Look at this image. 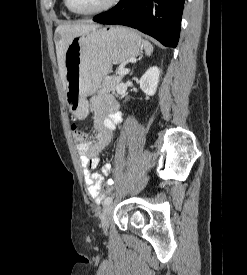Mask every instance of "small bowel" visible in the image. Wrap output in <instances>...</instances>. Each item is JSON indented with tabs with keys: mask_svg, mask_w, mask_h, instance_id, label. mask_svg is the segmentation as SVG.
I'll use <instances>...</instances> for the list:
<instances>
[{
	"mask_svg": "<svg viewBox=\"0 0 247 275\" xmlns=\"http://www.w3.org/2000/svg\"><path fill=\"white\" fill-rule=\"evenodd\" d=\"M91 108L97 136L93 142L78 144L77 150L88 194L93 200L100 202L105 196L101 191L103 177L111 172L112 165L105 164L100 173L93 172V170L99 165L100 152L111 142L113 131L117 125L122 123L123 118L117 109V102L107 95L93 97Z\"/></svg>",
	"mask_w": 247,
	"mask_h": 275,
	"instance_id": "1",
	"label": "small bowel"
}]
</instances>
